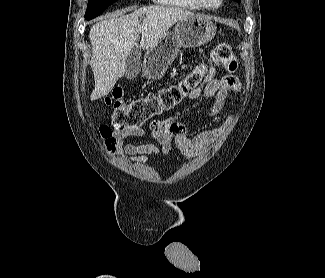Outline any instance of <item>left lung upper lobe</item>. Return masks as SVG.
<instances>
[{
	"label": "left lung upper lobe",
	"instance_id": "obj_1",
	"mask_svg": "<svg viewBox=\"0 0 325 278\" xmlns=\"http://www.w3.org/2000/svg\"><path fill=\"white\" fill-rule=\"evenodd\" d=\"M235 1H237L238 3H240V2H241V0H235Z\"/></svg>",
	"mask_w": 325,
	"mask_h": 278
}]
</instances>
